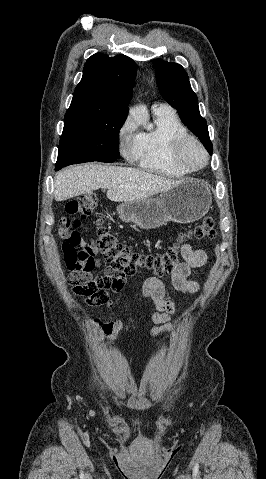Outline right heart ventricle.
Segmentation results:
<instances>
[{
	"mask_svg": "<svg viewBox=\"0 0 266 479\" xmlns=\"http://www.w3.org/2000/svg\"><path fill=\"white\" fill-rule=\"evenodd\" d=\"M154 114L155 127L134 136L130 159L142 169L164 177L177 178L188 174L171 158L173 142L189 135L186 127L170 109H154Z\"/></svg>",
	"mask_w": 266,
	"mask_h": 479,
	"instance_id": "e07e8e85",
	"label": "right heart ventricle"
}]
</instances>
